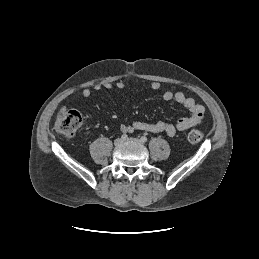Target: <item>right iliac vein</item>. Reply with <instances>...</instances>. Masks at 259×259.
Wrapping results in <instances>:
<instances>
[{"label": "right iliac vein", "mask_w": 259, "mask_h": 259, "mask_svg": "<svg viewBox=\"0 0 259 259\" xmlns=\"http://www.w3.org/2000/svg\"><path fill=\"white\" fill-rule=\"evenodd\" d=\"M122 143H123V140L120 139V138H117V139L114 141V144H115L116 146H119V145H121Z\"/></svg>", "instance_id": "obj_1"}]
</instances>
